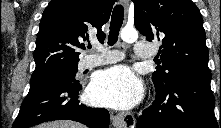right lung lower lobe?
Masks as SVG:
<instances>
[{
	"instance_id": "right-lung-lower-lobe-1",
	"label": "right lung lower lobe",
	"mask_w": 221,
	"mask_h": 128,
	"mask_svg": "<svg viewBox=\"0 0 221 128\" xmlns=\"http://www.w3.org/2000/svg\"><path fill=\"white\" fill-rule=\"evenodd\" d=\"M80 90L76 81L56 77L32 84L13 128H29L52 120H73L89 128H108L109 112L79 103Z\"/></svg>"
}]
</instances>
